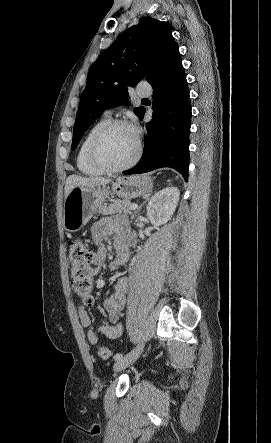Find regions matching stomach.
Masks as SVG:
<instances>
[{"instance_id":"0dacf381","label":"stomach","mask_w":271,"mask_h":443,"mask_svg":"<svg viewBox=\"0 0 271 443\" xmlns=\"http://www.w3.org/2000/svg\"><path fill=\"white\" fill-rule=\"evenodd\" d=\"M152 188V180L148 176H130V178H119L113 184L112 192L119 198L132 200L149 194ZM109 196L111 192L106 186H95V188L75 186L66 196L63 208V225L66 231L82 229L92 218L95 210L103 206V202Z\"/></svg>"}]
</instances>
